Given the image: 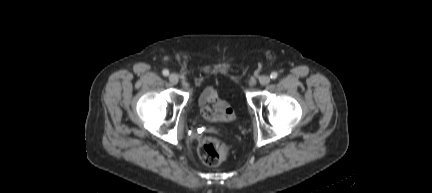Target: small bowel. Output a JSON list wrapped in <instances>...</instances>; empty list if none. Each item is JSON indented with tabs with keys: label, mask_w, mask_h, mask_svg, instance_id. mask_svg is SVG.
I'll return each mask as SVG.
<instances>
[{
	"label": "small bowel",
	"mask_w": 432,
	"mask_h": 193,
	"mask_svg": "<svg viewBox=\"0 0 432 193\" xmlns=\"http://www.w3.org/2000/svg\"><path fill=\"white\" fill-rule=\"evenodd\" d=\"M201 113L208 122H228L233 119L234 113L228 104L221 100L214 88H206L198 99Z\"/></svg>",
	"instance_id": "1"
}]
</instances>
